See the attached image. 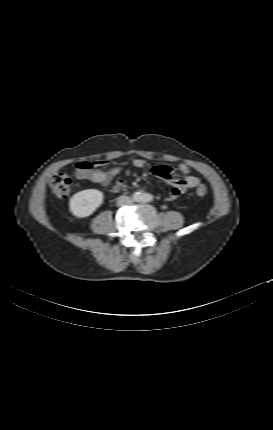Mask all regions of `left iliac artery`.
Segmentation results:
<instances>
[{
    "label": "left iliac artery",
    "mask_w": 273,
    "mask_h": 430,
    "mask_svg": "<svg viewBox=\"0 0 273 430\" xmlns=\"http://www.w3.org/2000/svg\"><path fill=\"white\" fill-rule=\"evenodd\" d=\"M152 200H153V195L148 194V193L143 194V196L141 198V201L144 202V203L145 202H150Z\"/></svg>",
    "instance_id": "1"
}]
</instances>
